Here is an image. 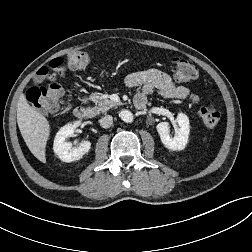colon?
Returning a JSON list of instances; mask_svg holds the SVG:
<instances>
[{"instance_id": "5ec220e1", "label": "colon", "mask_w": 252, "mask_h": 252, "mask_svg": "<svg viewBox=\"0 0 252 252\" xmlns=\"http://www.w3.org/2000/svg\"><path fill=\"white\" fill-rule=\"evenodd\" d=\"M90 62V56L83 51H76L67 58H56L52 60L49 67L41 68L37 77L39 79L49 80L47 87L33 86L27 92L29 103L44 112L58 109L64 102V88L57 82L56 73L61 72L65 64L73 70H81ZM173 75L178 81H190L198 77V69L187 60L175 58L172 60ZM194 102H198L197 95L192 97ZM199 117L206 127H215L220 120V110L213 104L201 107Z\"/></svg>"}]
</instances>
